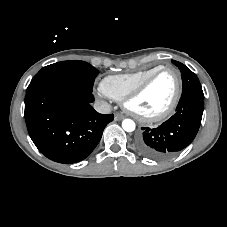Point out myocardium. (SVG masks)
<instances>
[{"instance_id":"f54148a6","label":"myocardium","mask_w":227,"mask_h":227,"mask_svg":"<svg viewBox=\"0 0 227 227\" xmlns=\"http://www.w3.org/2000/svg\"><path fill=\"white\" fill-rule=\"evenodd\" d=\"M166 71H172L175 73L176 78H177V88L175 95L168 105V107L163 110L162 112L152 115V116H145L142 114H139L135 110L131 108V102L136 99L139 95H141L147 87L152 83V81L157 78L159 75ZM182 91H183V82H182V76L181 73L179 72L178 69L174 67H162L158 69L157 71L153 72L150 74L148 77H146L142 82H140L136 87H134L123 99V107L125 110L130 113L133 117L136 119L145 122V123H158L161 122L165 119H167L169 116L172 115L174 110L176 109L180 98L182 96Z\"/></svg>"}]
</instances>
